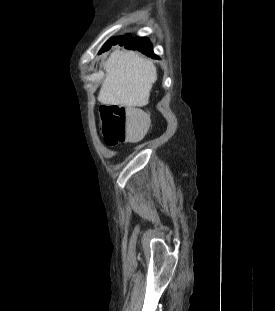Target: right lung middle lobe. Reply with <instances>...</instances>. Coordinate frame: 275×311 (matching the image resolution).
<instances>
[{"mask_svg":"<svg viewBox=\"0 0 275 311\" xmlns=\"http://www.w3.org/2000/svg\"><path fill=\"white\" fill-rule=\"evenodd\" d=\"M128 38H129V35L118 37L117 40L115 38H112V39H110V41H108L104 45V47L101 49V51L103 52L104 50H108V49H110L111 45L119 44Z\"/></svg>","mask_w":275,"mask_h":311,"instance_id":"1","label":"right lung middle lobe"}]
</instances>
